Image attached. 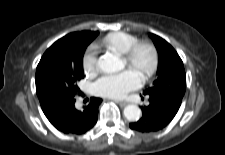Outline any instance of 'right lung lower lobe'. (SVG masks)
Listing matches in <instances>:
<instances>
[{
	"instance_id": "1",
	"label": "right lung lower lobe",
	"mask_w": 225,
	"mask_h": 155,
	"mask_svg": "<svg viewBox=\"0 0 225 155\" xmlns=\"http://www.w3.org/2000/svg\"><path fill=\"white\" fill-rule=\"evenodd\" d=\"M101 101L100 98L92 97L83 111L75 108L74 96L56 98L41 107L47 119L59 131L84 134L96 124Z\"/></svg>"
}]
</instances>
